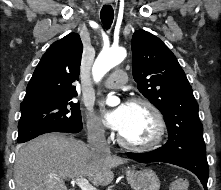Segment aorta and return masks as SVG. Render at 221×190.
Masks as SVG:
<instances>
[{"label": "aorta", "mask_w": 221, "mask_h": 190, "mask_svg": "<svg viewBox=\"0 0 221 190\" xmlns=\"http://www.w3.org/2000/svg\"><path fill=\"white\" fill-rule=\"evenodd\" d=\"M127 53L124 48H111L107 50H102L101 53L95 60L93 65V77L96 82L100 79L113 67L121 63ZM118 100L116 98L110 97L107 100L108 104H115Z\"/></svg>", "instance_id": "aorta-1"}]
</instances>
